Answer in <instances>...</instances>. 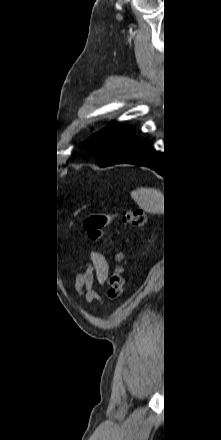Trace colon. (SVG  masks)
<instances>
[{"label": "colon", "instance_id": "obj_1", "mask_svg": "<svg viewBox=\"0 0 221 440\" xmlns=\"http://www.w3.org/2000/svg\"><path fill=\"white\" fill-rule=\"evenodd\" d=\"M119 216H121L126 221V223L131 226L142 227L144 225L145 215L142 210H128L121 213ZM116 217L117 216H113L111 214L89 215L85 218L83 222L84 230L87 232L92 240L102 241L104 227ZM115 260L117 264L109 278L108 297L111 300H116L120 298L124 292V278L122 267L124 255L121 252H117L115 254Z\"/></svg>", "mask_w": 221, "mask_h": 440}]
</instances>
